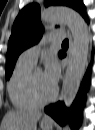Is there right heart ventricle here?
I'll return each instance as SVG.
<instances>
[{
	"instance_id": "1",
	"label": "right heart ventricle",
	"mask_w": 95,
	"mask_h": 130,
	"mask_svg": "<svg viewBox=\"0 0 95 130\" xmlns=\"http://www.w3.org/2000/svg\"><path fill=\"white\" fill-rule=\"evenodd\" d=\"M33 65L21 59L18 60L8 84V93L12 104L20 110H31L39 107L28 92V79Z\"/></svg>"
}]
</instances>
